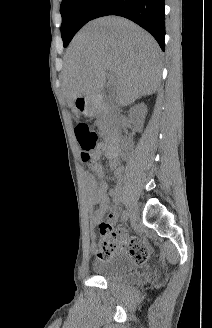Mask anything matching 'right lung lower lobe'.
Returning a JSON list of instances; mask_svg holds the SVG:
<instances>
[{"instance_id":"1","label":"right lung lower lobe","mask_w":212,"mask_h":328,"mask_svg":"<svg viewBox=\"0 0 212 328\" xmlns=\"http://www.w3.org/2000/svg\"><path fill=\"white\" fill-rule=\"evenodd\" d=\"M164 7V0H102L91 18L111 14L128 18L150 32L164 51Z\"/></svg>"}]
</instances>
